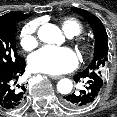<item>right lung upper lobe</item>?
Returning a JSON list of instances; mask_svg holds the SVG:
<instances>
[{"mask_svg": "<svg viewBox=\"0 0 117 117\" xmlns=\"http://www.w3.org/2000/svg\"><path fill=\"white\" fill-rule=\"evenodd\" d=\"M31 14H23L21 12H10L7 13L3 16L0 17V23L5 21V20H9V19H14V18H28ZM24 20V19H23Z\"/></svg>", "mask_w": 117, "mask_h": 117, "instance_id": "right-lung-upper-lobe-1", "label": "right lung upper lobe"}]
</instances>
